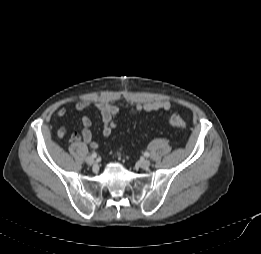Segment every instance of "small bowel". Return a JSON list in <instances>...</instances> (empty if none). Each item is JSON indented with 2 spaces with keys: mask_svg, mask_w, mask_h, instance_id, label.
<instances>
[{
  "mask_svg": "<svg viewBox=\"0 0 261 254\" xmlns=\"http://www.w3.org/2000/svg\"><path fill=\"white\" fill-rule=\"evenodd\" d=\"M92 105H94L101 113L103 121V135L105 137H111L114 132V129L116 128L115 119L119 113V108L115 104L104 101H98L93 103L89 100H80L75 104V109L79 112H84ZM173 107L174 103L169 100L147 101L143 103H138L135 106H133L130 110V113L136 115L142 112L170 110ZM66 114L67 110L65 107H61L57 111V116L60 118H64ZM81 123L83 126L81 133L71 134L70 141L79 142L82 140L91 148L96 149L98 147V143L93 139L92 132L90 130V127L92 125L91 118L87 114H84L81 118ZM57 134L59 137H66L67 130L65 128H60Z\"/></svg>",
  "mask_w": 261,
  "mask_h": 254,
  "instance_id": "1",
  "label": "small bowel"
}]
</instances>
